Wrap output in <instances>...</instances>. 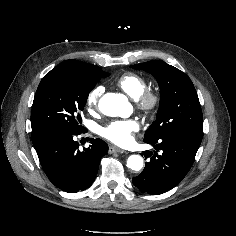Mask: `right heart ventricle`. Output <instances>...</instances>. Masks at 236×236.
<instances>
[{
  "instance_id": "e07e8e85",
  "label": "right heart ventricle",
  "mask_w": 236,
  "mask_h": 236,
  "mask_svg": "<svg viewBox=\"0 0 236 236\" xmlns=\"http://www.w3.org/2000/svg\"><path fill=\"white\" fill-rule=\"evenodd\" d=\"M117 86L132 99L137 100L147 89V81L139 74L128 72L117 80Z\"/></svg>"
}]
</instances>
